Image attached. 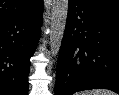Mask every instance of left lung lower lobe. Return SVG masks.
<instances>
[{
    "instance_id": "0a47b994",
    "label": "left lung lower lobe",
    "mask_w": 119,
    "mask_h": 95,
    "mask_svg": "<svg viewBox=\"0 0 119 95\" xmlns=\"http://www.w3.org/2000/svg\"><path fill=\"white\" fill-rule=\"evenodd\" d=\"M96 88L119 94V11L69 0L55 95Z\"/></svg>"
}]
</instances>
